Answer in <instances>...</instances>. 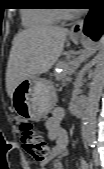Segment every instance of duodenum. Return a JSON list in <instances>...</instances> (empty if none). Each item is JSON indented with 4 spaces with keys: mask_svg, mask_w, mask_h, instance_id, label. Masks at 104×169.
<instances>
[{
    "mask_svg": "<svg viewBox=\"0 0 104 169\" xmlns=\"http://www.w3.org/2000/svg\"><path fill=\"white\" fill-rule=\"evenodd\" d=\"M86 108V100L79 99L75 103L74 114L76 117H82Z\"/></svg>",
    "mask_w": 104,
    "mask_h": 169,
    "instance_id": "obj_1",
    "label": "duodenum"
}]
</instances>
